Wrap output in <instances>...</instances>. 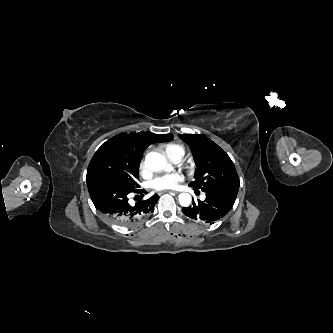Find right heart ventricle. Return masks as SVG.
Returning <instances> with one entry per match:
<instances>
[{
	"label": "right heart ventricle",
	"instance_id": "obj_1",
	"mask_svg": "<svg viewBox=\"0 0 333 333\" xmlns=\"http://www.w3.org/2000/svg\"><path fill=\"white\" fill-rule=\"evenodd\" d=\"M165 153L169 158L176 154H181L184 156V149L180 145L172 143L165 147Z\"/></svg>",
	"mask_w": 333,
	"mask_h": 333
}]
</instances>
